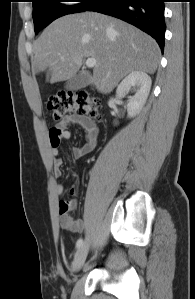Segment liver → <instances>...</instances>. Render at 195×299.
Instances as JSON below:
<instances>
[{
    "instance_id": "obj_1",
    "label": "liver",
    "mask_w": 195,
    "mask_h": 299,
    "mask_svg": "<svg viewBox=\"0 0 195 299\" xmlns=\"http://www.w3.org/2000/svg\"><path fill=\"white\" fill-rule=\"evenodd\" d=\"M33 73L49 69L51 83L76 75L85 58H95L89 83L108 93L127 74H153L160 49L136 27L100 13L85 12L58 18L34 42Z\"/></svg>"
}]
</instances>
